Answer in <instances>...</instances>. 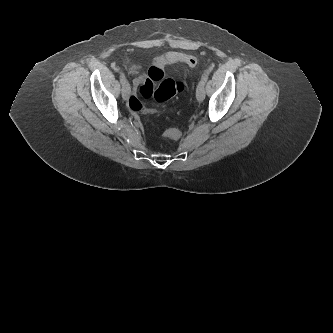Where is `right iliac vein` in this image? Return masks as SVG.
Masks as SVG:
<instances>
[{
  "instance_id": "1",
  "label": "right iliac vein",
  "mask_w": 333,
  "mask_h": 333,
  "mask_svg": "<svg viewBox=\"0 0 333 333\" xmlns=\"http://www.w3.org/2000/svg\"><path fill=\"white\" fill-rule=\"evenodd\" d=\"M129 92H130V86H129V84H125L122 87V97H123V99L126 100L128 98Z\"/></svg>"
}]
</instances>
